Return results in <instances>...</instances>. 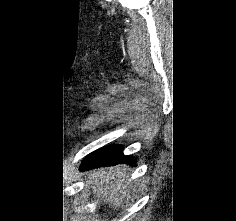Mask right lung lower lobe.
<instances>
[{"label": "right lung lower lobe", "instance_id": "right-lung-lower-lobe-1", "mask_svg": "<svg viewBox=\"0 0 236 221\" xmlns=\"http://www.w3.org/2000/svg\"><path fill=\"white\" fill-rule=\"evenodd\" d=\"M118 163L135 164V159L132 156L123 155L121 146L113 145L89 154L83 160L80 170L86 171L101 166H113Z\"/></svg>", "mask_w": 236, "mask_h": 221}]
</instances>
